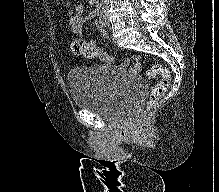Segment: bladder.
Returning a JSON list of instances; mask_svg holds the SVG:
<instances>
[{"label": "bladder", "instance_id": "1", "mask_svg": "<svg viewBox=\"0 0 219 192\" xmlns=\"http://www.w3.org/2000/svg\"><path fill=\"white\" fill-rule=\"evenodd\" d=\"M68 83L75 107L108 122L132 118L145 95L129 71L112 64L75 68L68 74Z\"/></svg>", "mask_w": 219, "mask_h": 192}]
</instances>
